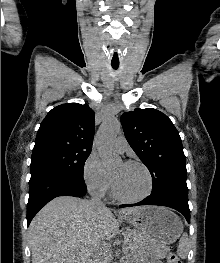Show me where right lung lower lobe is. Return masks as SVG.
<instances>
[{
    "label": "right lung lower lobe",
    "mask_w": 220,
    "mask_h": 263,
    "mask_svg": "<svg viewBox=\"0 0 220 263\" xmlns=\"http://www.w3.org/2000/svg\"><path fill=\"white\" fill-rule=\"evenodd\" d=\"M86 192L87 187L83 178L48 168L32 169L29 181L27 226L36 213L53 198L64 195L82 197Z\"/></svg>",
    "instance_id": "98d812e1"
}]
</instances>
